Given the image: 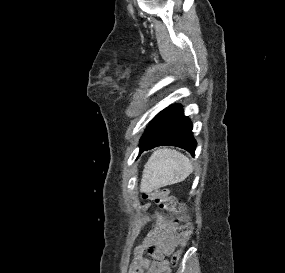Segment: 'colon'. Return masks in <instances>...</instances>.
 I'll return each mask as SVG.
<instances>
[{
	"label": "colon",
	"mask_w": 285,
	"mask_h": 273,
	"mask_svg": "<svg viewBox=\"0 0 285 273\" xmlns=\"http://www.w3.org/2000/svg\"><path fill=\"white\" fill-rule=\"evenodd\" d=\"M142 198L145 200L154 201L164 211L177 214V220L180 222L179 236H180V246L182 250L186 246L192 234L193 227L189 221L188 216L176 208L175 197L170 195V192L168 189L162 188V189H154L151 191L144 192L142 194ZM181 250H179L172 256L171 266L176 265L177 262L179 261L180 256H181ZM171 266L166 267L163 270V273H170Z\"/></svg>",
	"instance_id": "5ec220e1"
}]
</instances>
